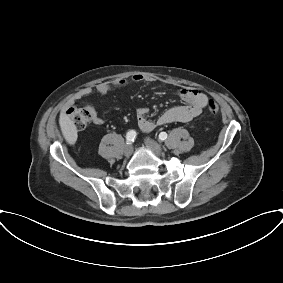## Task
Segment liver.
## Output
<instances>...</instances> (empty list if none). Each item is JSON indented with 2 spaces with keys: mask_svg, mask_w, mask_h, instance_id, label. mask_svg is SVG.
I'll use <instances>...</instances> for the list:
<instances>
[{
  "mask_svg": "<svg viewBox=\"0 0 283 283\" xmlns=\"http://www.w3.org/2000/svg\"><path fill=\"white\" fill-rule=\"evenodd\" d=\"M59 124L65 140L74 144L77 140V129L73 121L63 112L60 113Z\"/></svg>",
  "mask_w": 283,
  "mask_h": 283,
  "instance_id": "obj_1",
  "label": "liver"
}]
</instances>
